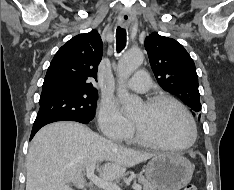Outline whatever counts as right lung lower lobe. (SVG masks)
Segmentation results:
<instances>
[{
  "label": "right lung lower lobe",
  "mask_w": 234,
  "mask_h": 190,
  "mask_svg": "<svg viewBox=\"0 0 234 190\" xmlns=\"http://www.w3.org/2000/svg\"><path fill=\"white\" fill-rule=\"evenodd\" d=\"M58 121H77V122H80V123L87 124V123H85V122H81V121L73 120V119H60V120H58ZM54 122H55V121H54ZM42 127H43V126H42ZM40 128H41V127L32 129L30 140L33 138V136L36 134V132H37Z\"/></svg>",
  "instance_id": "right-lung-lower-lobe-1"
}]
</instances>
